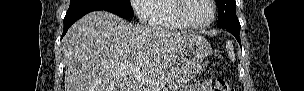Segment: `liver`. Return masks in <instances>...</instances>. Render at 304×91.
<instances>
[{"label": "liver", "mask_w": 304, "mask_h": 91, "mask_svg": "<svg viewBox=\"0 0 304 91\" xmlns=\"http://www.w3.org/2000/svg\"><path fill=\"white\" fill-rule=\"evenodd\" d=\"M195 33L132 24L107 11H94L69 28L62 40L65 91H132V75H116L121 67L144 77L171 68ZM129 76V77H128Z\"/></svg>", "instance_id": "obj_1"}]
</instances>
